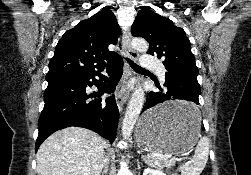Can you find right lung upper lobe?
Here are the masks:
<instances>
[{
	"label": "right lung upper lobe",
	"mask_w": 251,
	"mask_h": 175,
	"mask_svg": "<svg viewBox=\"0 0 251 175\" xmlns=\"http://www.w3.org/2000/svg\"><path fill=\"white\" fill-rule=\"evenodd\" d=\"M120 35L115 15L103 9L66 31L56 45L46 80L72 77L103 70L121 59L108 46Z\"/></svg>",
	"instance_id": "cb5924a9"
}]
</instances>
